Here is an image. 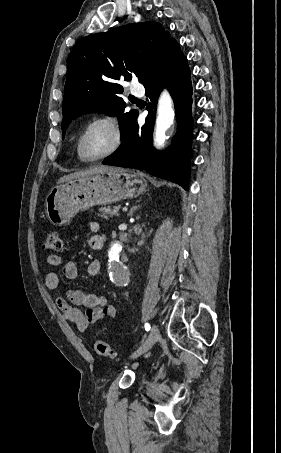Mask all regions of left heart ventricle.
Listing matches in <instances>:
<instances>
[{
	"label": "left heart ventricle",
	"mask_w": 281,
	"mask_h": 453,
	"mask_svg": "<svg viewBox=\"0 0 281 453\" xmlns=\"http://www.w3.org/2000/svg\"><path fill=\"white\" fill-rule=\"evenodd\" d=\"M111 141V135L105 128L93 129L84 140V153L93 154Z\"/></svg>",
	"instance_id": "b2bd125f"
}]
</instances>
